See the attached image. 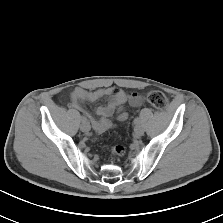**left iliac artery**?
Returning <instances> with one entry per match:
<instances>
[{
    "label": "left iliac artery",
    "mask_w": 223,
    "mask_h": 223,
    "mask_svg": "<svg viewBox=\"0 0 223 223\" xmlns=\"http://www.w3.org/2000/svg\"><path fill=\"white\" fill-rule=\"evenodd\" d=\"M134 124L135 125L140 124V118L139 117H137V118L134 119Z\"/></svg>",
    "instance_id": "1"
}]
</instances>
